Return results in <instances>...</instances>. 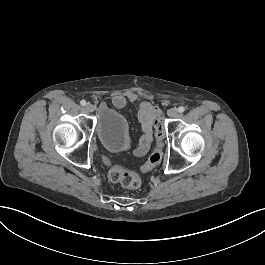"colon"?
<instances>
[{
  "instance_id": "5ec220e1",
  "label": "colon",
  "mask_w": 265,
  "mask_h": 265,
  "mask_svg": "<svg viewBox=\"0 0 265 265\" xmlns=\"http://www.w3.org/2000/svg\"><path fill=\"white\" fill-rule=\"evenodd\" d=\"M156 148L148 155L141 167L142 172H148L160 164L162 159L161 147L163 145V124L157 121L155 124ZM110 181L119 183L127 189H137L141 186L142 180L139 174L127 171L121 165H112L108 172Z\"/></svg>"
}]
</instances>
